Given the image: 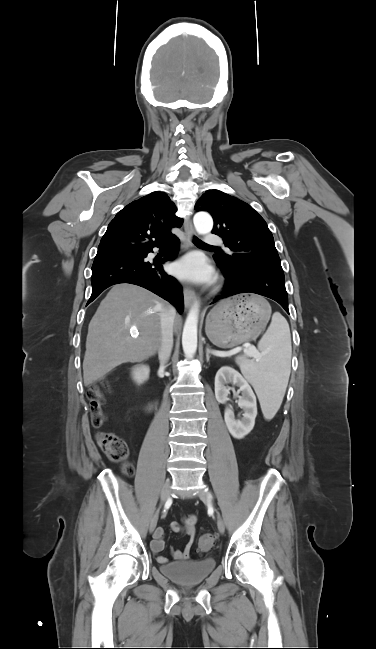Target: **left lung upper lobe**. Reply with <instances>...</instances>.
Returning a JSON list of instances; mask_svg holds the SVG:
<instances>
[{
    "label": "left lung upper lobe",
    "instance_id": "5c2ea615",
    "mask_svg": "<svg viewBox=\"0 0 376 649\" xmlns=\"http://www.w3.org/2000/svg\"><path fill=\"white\" fill-rule=\"evenodd\" d=\"M208 211L214 220L212 233L223 238L230 254H215L219 264L239 272L257 266L282 277L284 273L274 239L265 220L247 203L218 190L206 191L195 205Z\"/></svg>",
    "mask_w": 376,
    "mask_h": 649
}]
</instances>
